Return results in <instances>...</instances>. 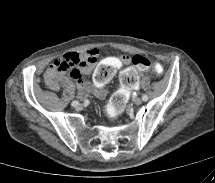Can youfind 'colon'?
I'll return each instance as SVG.
<instances>
[{
  "mask_svg": "<svg viewBox=\"0 0 215 183\" xmlns=\"http://www.w3.org/2000/svg\"><path fill=\"white\" fill-rule=\"evenodd\" d=\"M133 67H128L123 70L121 74V80L123 84V90L115 93L108 104L106 113L110 117H116L121 114L125 109L127 103V90L136 87L139 83V75L137 70L145 71L150 67V61L140 55L132 57ZM77 63L75 61L60 60L56 66L58 72L71 71ZM155 71L161 73L163 67L160 64L155 65Z\"/></svg>",
  "mask_w": 215,
  "mask_h": 183,
  "instance_id": "obj_1",
  "label": "colon"
}]
</instances>
